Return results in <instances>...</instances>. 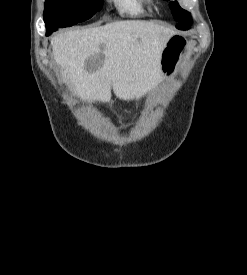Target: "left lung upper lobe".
Returning <instances> with one entry per match:
<instances>
[{"label": "left lung upper lobe", "mask_w": 247, "mask_h": 275, "mask_svg": "<svg viewBox=\"0 0 247 275\" xmlns=\"http://www.w3.org/2000/svg\"><path fill=\"white\" fill-rule=\"evenodd\" d=\"M169 6L171 8L174 19L180 23L177 25V28L180 30L189 29L190 25L192 24L190 13L183 10L177 2H170Z\"/></svg>", "instance_id": "obj_1"}]
</instances>
